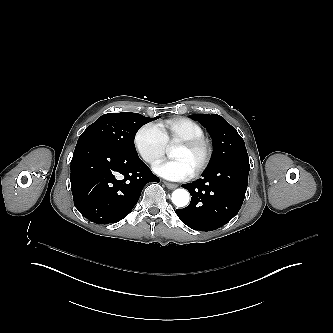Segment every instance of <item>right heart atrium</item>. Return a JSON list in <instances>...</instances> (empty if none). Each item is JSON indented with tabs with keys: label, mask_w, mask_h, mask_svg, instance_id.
<instances>
[{
	"label": "right heart atrium",
	"mask_w": 333,
	"mask_h": 333,
	"mask_svg": "<svg viewBox=\"0 0 333 333\" xmlns=\"http://www.w3.org/2000/svg\"><path fill=\"white\" fill-rule=\"evenodd\" d=\"M166 144L159 126L153 123L145 124L134 137L135 150L152 169L163 159Z\"/></svg>",
	"instance_id": "d8ad5b80"
}]
</instances>
